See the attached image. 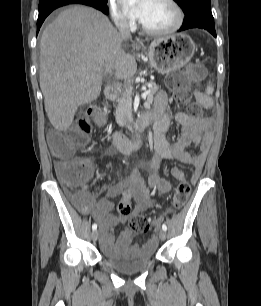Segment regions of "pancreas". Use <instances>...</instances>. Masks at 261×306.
Wrapping results in <instances>:
<instances>
[{
  "mask_svg": "<svg viewBox=\"0 0 261 306\" xmlns=\"http://www.w3.org/2000/svg\"><path fill=\"white\" fill-rule=\"evenodd\" d=\"M147 86L149 88L148 97H153L159 87L154 82L148 83ZM116 102L117 105L114 113L116 122L120 126L129 127L132 121V93H128L126 90L121 91Z\"/></svg>",
  "mask_w": 261,
  "mask_h": 306,
  "instance_id": "pancreas-1",
  "label": "pancreas"
}]
</instances>
